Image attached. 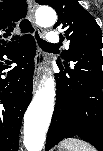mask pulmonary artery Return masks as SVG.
<instances>
[{
  "label": "pulmonary artery",
  "instance_id": "1",
  "mask_svg": "<svg viewBox=\"0 0 103 151\" xmlns=\"http://www.w3.org/2000/svg\"><path fill=\"white\" fill-rule=\"evenodd\" d=\"M47 39L50 43H57L59 42V35L56 32H50L47 36Z\"/></svg>",
  "mask_w": 103,
  "mask_h": 151
}]
</instances>
